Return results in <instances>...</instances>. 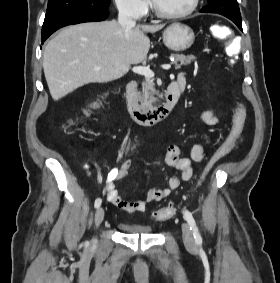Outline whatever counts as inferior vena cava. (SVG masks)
I'll return each mask as SVG.
<instances>
[{
  "mask_svg": "<svg viewBox=\"0 0 280 283\" xmlns=\"http://www.w3.org/2000/svg\"><path fill=\"white\" fill-rule=\"evenodd\" d=\"M118 24L122 27L135 26L136 22L132 19L130 12L125 7H119Z\"/></svg>",
  "mask_w": 280,
  "mask_h": 283,
  "instance_id": "602c4592",
  "label": "inferior vena cava"
}]
</instances>
